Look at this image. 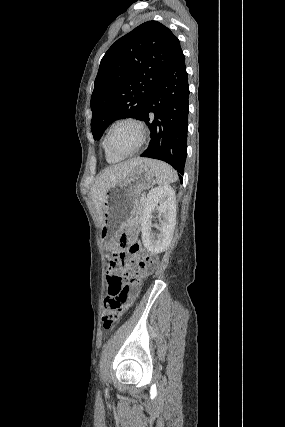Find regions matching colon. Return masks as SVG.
<instances>
[{"label":"colon","instance_id":"colon-1","mask_svg":"<svg viewBox=\"0 0 285 427\" xmlns=\"http://www.w3.org/2000/svg\"><path fill=\"white\" fill-rule=\"evenodd\" d=\"M134 235L133 231H126L110 245L109 255L111 260H116L120 255V250L129 246V254L136 266L132 268L130 264L124 262L121 264L122 269L129 275L127 282L123 274L120 273H110L107 276L111 294L104 300L105 312L102 316V324L107 331L114 327L118 319L117 313L121 306L126 301H131L134 298L139 285L152 271V258L143 253L138 243L129 244Z\"/></svg>","mask_w":285,"mask_h":427}]
</instances>
